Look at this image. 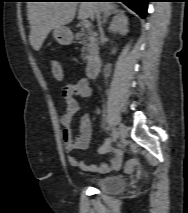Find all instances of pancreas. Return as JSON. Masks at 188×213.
Wrapping results in <instances>:
<instances>
[{
    "label": "pancreas",
    "instance_id": "1",
    "mask_svg": "<svg viewBox=\"0 0 188 213\" xmlns=\"http://www.w3.org/2000/svg\"><path fill=\"white\" fill-rule=\"evenodd\" d=\"M75 38L76 40H80L84 46L82 49V59L89 61L98 51L96 33L91 29H82L75 35Z\"/></svg>",
    "mask_w": 188,
    "mask_h": 213
}]
</instances>
